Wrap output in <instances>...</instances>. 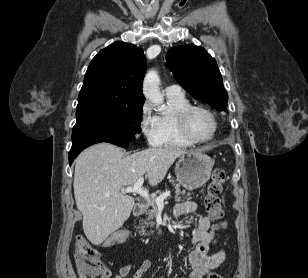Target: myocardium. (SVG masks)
<instances>
[{
    "label": "myocardium",
    "instance_id": "f54148a6",
    "mask_svg": "<svg viewBox=\"0 0 308 278\" xmlns=\"http://www.w3.org/2000/svg\"><path fill=\"white\" fill-rule=\"evenodd\" d=\"M194 110H202L206 112L213 121V131L211 135L205 139H198L194 137L188 129L187 118L190 115V113ZM174 119L180 134L192 144H202L211 141L216 135L218 130V121L215 114L213 113V111H211L209 108L203 105L188 104L175 113Z\"/></svg>",
    "mask_w": 308,
    "mask_h": 278
}]
</instances>
